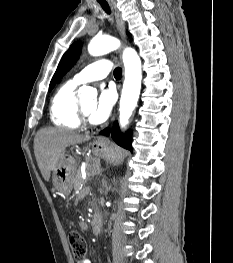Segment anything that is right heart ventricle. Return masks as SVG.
Masks as SVG:
<instances>
[{
    "label": "right heart ventricle",
    "instance_id": "obj_1",
    "mask_svg": "<svg viewBox=\"0 0 233 263\" xmlns=\"http://www.w3.org/2000/svg\"><path fill=\"white\" fill-rule=\"evenodd\" d=\"M77 86L74 80H69L54 94L50 105V118L55 125L71 129L81 127Z\"/></svg>",
    "mask_w": 233,
    "mask_h": 263
}]
</instances>
